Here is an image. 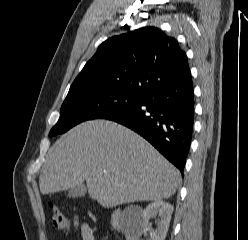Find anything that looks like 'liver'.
I'll list each match as a JSON object with an SVG mask.
<instances>
[{
    "instance_id": "obj_1",
    "label": "liver",
    "mask_w": 248,
    "mask_h": 240,
    "mask_svg": "<svg viewBox=\"0 0 248 240\" xmlns=\"http://www.w3.org/2000/svg\"><path fill=\"white\" fill-rule=\"evenodd\" d=\"M180 172L133 131L105 120L72 128L53 145L39 177L43 195L81 185L106 208L171 197Z\"/></svg>"
}]
</instances>
